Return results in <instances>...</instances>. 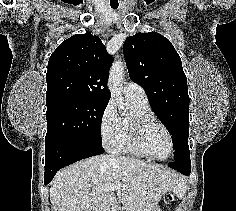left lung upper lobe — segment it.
Instances as JSON below:
<instances>
[{
	"mask_svg": "<svg viewBox=\"0 0 236 211\" xmlns=\"http://www.w3.org/2000/svg\"><path fill=\"white\" fill-rule=\"evenodd\" d=\"M123 53L131 80L143 87L155 114L172 135L175 161H190V99L174 46L157 32L137 33L125 40Z\"/></svg>",
	"mask_w": 236,
	"mask_h": 211,
	"instance_id": "1",
	"label": "left lung upper lobe"
}]
</instances>
